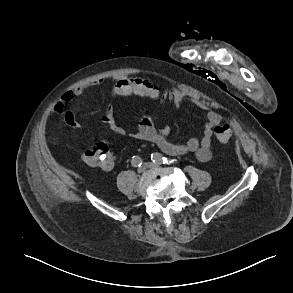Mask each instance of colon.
Instances as JSON below:
<instances>
[{
    "label": "colon",
    "mask_w": 293,
    "mask_h": 293,
    "mask_svg": "<svg viewBox=\"0 0 293 293\" xmlns=\"http://www.w3.org/2000/svg\"><path fill=\"white\" fill-rule=\"evenodd\" d=\"M146 96L151 94L145 93ZM214 136L220 143H226L229 141L232 131L228 124L217 125L214 129ZM82 161L94 167L106 168L108 167L113 159L114 155L104 143H96L91 148L87 149L82 154Z\"/></svg>",
    "instance_id": "5ec220e1"
}]
</instances>
